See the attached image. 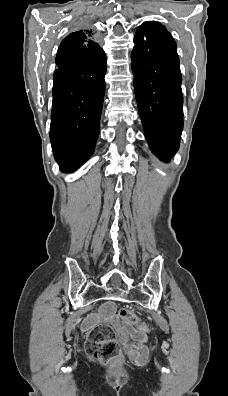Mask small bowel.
<instances>
[{
    "label": "small bowel",
    "instance_id": "obj_1",
    "mask_svg": "<svg viewBox=\"0 0 228 396\" xmlns=\"http://www.w3.org/2000/svg\"><path fill=\"white\" fill-rule=\"evenodd\" d=\"M113 310V304H107L102 311V316L108 319L119 333L128 357L137 365L144 364L148 356L145 333L142 331L131 332L134 339V342H131L128 331L122 326L119 318L114 315Z\"/></svg>",
    "mask_w": 228,
    "mask_h": 396
}]
</instances>
